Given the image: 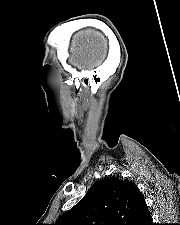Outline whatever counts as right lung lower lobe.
<instances>
[{
	"instance_id": "1",
	"label": "right lung lower lobe",
	"mask_w": 180,
	"mask_h": 225,
	"mask_svg": "<svg viewBox=\"0 0 180 225\" xmlns=\"http://www.w3.org/2000/svg\"><path fill=\"white\" fill-rule=\"evenodd\" d=\"M149 225H153V223L151 222Z\"/></svg>"
}]
</instances>
